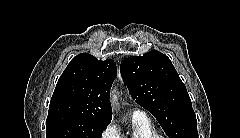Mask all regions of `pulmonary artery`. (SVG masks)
<instances>
[{
  "label": "pulmonary artery",
  "mask_w": 240,
  "mask_h": 138,
  "mask_svg": "<svg viewBox=\"0 0 240 138\" xmlns=\"http://www.w3.org/2000/svg\"><path fill=\"white\" fill-rule=\"evenodd\" d=\"M133 115L134 116H142V115H145L144 112L140 109H135L134 112H133Z\"/></svg>",
  "instance_id": "e3ab8cb5"
}]
</instances>
